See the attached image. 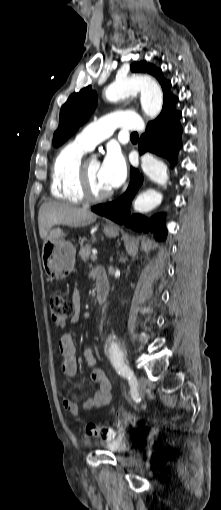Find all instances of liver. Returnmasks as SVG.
<instances>
[{
    "label": "liver",
    "instance_id": "1",
    "mask_svg": "<svg viewBox=\"0 0 221 510\" xmlns=\"http://www.w3.org/2000/svg\"><path fill=\"white\" fill-rule=\"evenodd\" d=\"M96 219L97 215L87 208L60 202L43 203L38 214L39 234L41 239H45L54 225L83 227Z\"/></svg>",
    "mask_w": 221,
    "mask_h": 510
}]
</instances>
